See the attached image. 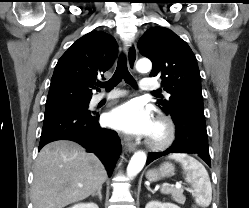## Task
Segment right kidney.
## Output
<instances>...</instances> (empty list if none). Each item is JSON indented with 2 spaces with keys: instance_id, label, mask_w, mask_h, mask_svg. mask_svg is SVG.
Masks as SVG:
<instances>
[{
  "instance_id": "ca27d5eb",
  "label": "right kidney",
  "mask_w": 249,
  "mask_h": 208,
  "mask_svg": "<svg viewBox=\"0 0 249 208\" xmlns=\"http://www.w3.org/2000/svg\"><path fill=\"white\" fill-rule=\"evenodd\" d=\"M70 208H99V207L94 203H79Z\"/></svg>"
}]
</instances>
